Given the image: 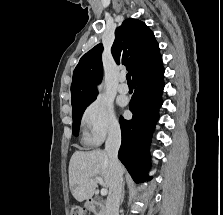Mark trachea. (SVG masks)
I'll list each match as a JSON object with an SVG mask.
<instances>
[{
    "instance_id": "1",
    "label": "trachea",
    "mask_w": 223,
    "mask_h": 215,
    "mask_svg": "<svg viewBox=\"0 0 223 215\" xmlns=\"http://www.w3.org/2000/svg\"><path fill=\"white\" fill-rule=\"evenodd\" d=\"M126 78L128 80V83H132L131 80H130V74L129 73H127Z\"/></svg>"
}]
</instances>
